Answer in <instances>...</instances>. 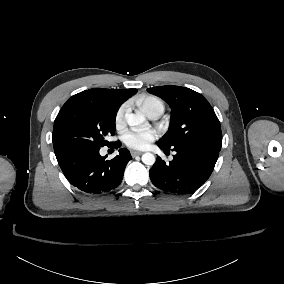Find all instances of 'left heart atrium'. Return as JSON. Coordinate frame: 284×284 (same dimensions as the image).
Here are the masks:
<instances>
[{"mask_svg":"<svg viewBox=\"0 0 284 284\" xmlns=\"http://www.w3.org/2000/svg\"><path fill=\"white\" fill-rule=\"evenodd\" d=\"M156 137V133L150 129H131L124 135L125 143L132 148H146Z\"/></svg>","mask_w":284,"mask_h":284,"instance_id":"left-heart-atrium-1","label":"left heart atrium"}]
</instances>
